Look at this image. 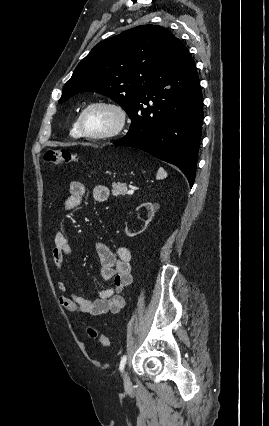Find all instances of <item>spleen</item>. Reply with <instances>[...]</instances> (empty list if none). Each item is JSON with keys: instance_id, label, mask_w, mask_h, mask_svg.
Segmentation results:
<instances>
[{"instance_id": "obj_1", "label": "spleen", "mask_w": 269, "mask_h": 426, "mask_svg": "<svg viewBox=\"0 0 269 426\" xmlns=\"http://www.w3.org/2000/svg\"><path fill=\"white\" fill-rule=\"evenodd\" d=\"M167 177V173L166 171L160 167L157 174H156V179L160 180V179H164Z\"/></svg>"}]
</instances>
